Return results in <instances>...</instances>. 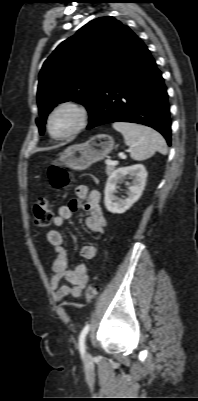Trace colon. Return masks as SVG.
I'll return each instance as SVG.
<instances>
[{
  "instance_id": "1",
  "label": "colon",
  "mask_w": 198,
  "mask_h": 401,
  "mask_svg": "<svg viewBox=\"0 0 198 401\" xmlns=\"http://www.w3.org/2000/svg\"><path fill=\"white\" fill-rule=\"evenodd\" d=\"M47 175L50 184L56 189H64L70 184L68 172L56 163L48 167ZM33 214L37 226L47 227L53 219V211L50 202L45 199L39 201L34 207ZM96 293L95 285L89 284L85 293L86 301L91 302L95 298Z\"/></svg>"
}]
</instances>
